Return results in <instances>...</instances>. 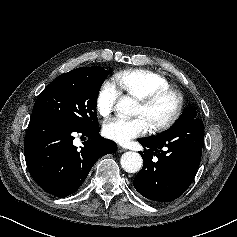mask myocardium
Listing matches in <instances>:
<instances>
[{
	"label": "myocardium",
	"instance_id": "f54148a6",
	"mask_svg": "<svg viewBox=\"0 0 237 237\" xmlns=\"http://www.w3.org/2000/svg\"><path fill=\"white\" fill-rule=\"evenodd\" d=\"M173 97L175 100V106L172 113L165 119L152 123L149 127L150 130L154 133L162 132L168 128H170L180 117L183 107H184V98L183 95L171 88L166 89H158L153 92H150L140 98H138V102H140L144 107L150 108L155 105L158 101L165 97Z\"/></svg>",
	"mask_w": 237,
	"mask_h": 237
}]
</instances>
